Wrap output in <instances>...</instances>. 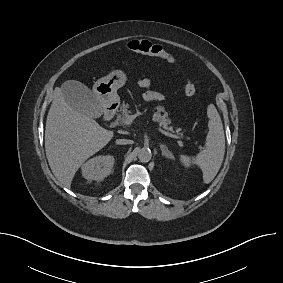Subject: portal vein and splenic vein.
Returning a JSON list of instances; mask_svg holds the SVG:
<instances>
[{"label": "portal vein and splenic vein", "instance_id": "18ae733b", "mask_svg": "<svg viewBox=\"0 0 283 283\" xmlns=\"http://www.w3.org/2000/svg\"><path fill=\"white\" fill-rule=\"evenodd\" d=\"M135 119V115H129L126 119V122L125 124L128 125V124H131L133 122V120ZM157 130L159 132H161L162 134H164L165 136H168V137H171V138H174V139H182L183 137L181 136H177V135H174L172 133H169V132H166L164 131L163 129L161 128H157Z\"/></svg>", "mask_w": 283, "mask_h": 283}]
</instances>
